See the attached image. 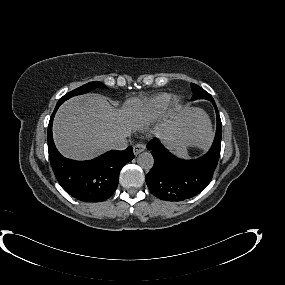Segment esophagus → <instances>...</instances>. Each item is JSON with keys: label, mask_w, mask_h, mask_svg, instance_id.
I'll return each mask as SVG.
<instances>
[{"label": "esophagus", "mask_w": 285, "mask_h": 285, "mask_svg": "<svg viewBox=\"0 0 285 285\" xmlns=\"http://www.w3.org/2000/svg\"><path fill=\"white\" fill-rule=\"evenodd\" d=\"M146 146L143 143H138L133 147L134 155L137 156L139 153L145 150Z\"/></svg>", "instance_id": "34e87169"}]
</instances>
